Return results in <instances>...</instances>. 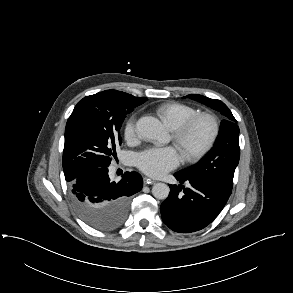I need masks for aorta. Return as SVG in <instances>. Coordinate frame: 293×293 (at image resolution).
Listing matches in <instances>:
<instances>
[{
    "mask_svg": "<svg viewBox=\"0 0 293 293\" xmlns=\"http://www.w3.org/2000/svg\"><path fill=\"white\" fill-rule=\"evenodd\" d=\"M136 130L142 138L155 143H164L168 138L163 124L152 116L141 117L136 123ZM169 192L170 188L165 183H156L152 187L153 196L160 200L166 199Z\"/></svg>",
    "mask_w": 293,
    "mask_h": 293,
    "instance_id": "aorta-1",
    "label": "aorta"
}]
</instances>
